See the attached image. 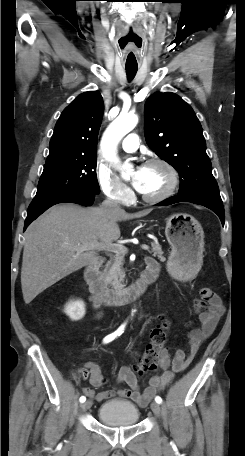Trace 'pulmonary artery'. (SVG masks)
Listing matches in <instances>:
<instances>
[{
    "mask_svg": "<svg viewBox=\"0 0 245 456\" xmlns=\"http://www.w3.org/2000/svg\"><path fill=\"white\" fill-rule=\"evenodd\" d=\"M139 146V138L135 133L127 135L122 141L121 147L125 152H135Z\"/></svg>",
    "mask_w": 245,
    "mask_h": 456,
    "instance_id": "pulmonary-artery-1",
    "label": "pulmonary artery"
}]
</instances>
